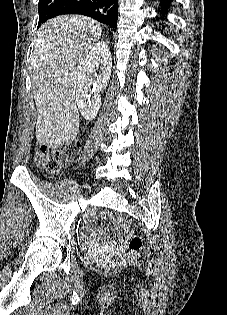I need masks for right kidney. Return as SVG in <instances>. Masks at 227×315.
Instances as JSON below:
<instances>
[{
  "label": "right kidney",
  "mask_w": 227,
  "mask_h": 315,
  "mask_svg": "<svg viewBox=\"0 0 227 315\" xmlns=\"http://www.w3.org/2000/svg\"><path fill=\"white\" fill-rule=\"evenodd\" d=\"M101 64L99 79L93 83L92 75ZM112 57L105 41H99L86 56L80 67L76 87V102L82 116L91 121L95 119L101 107L100 92L106 88L111 76ZM93 96L91 97V85Z\"/></svg>",
  "instance_id": "right-kidney-1"
}]
</instances>
